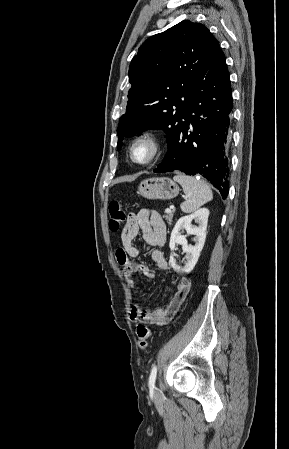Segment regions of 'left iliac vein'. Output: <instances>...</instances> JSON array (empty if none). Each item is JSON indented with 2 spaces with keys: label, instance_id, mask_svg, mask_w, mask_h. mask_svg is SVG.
<instances>
[{
  "label": "left iliac vein",
  "instance_id": "1",
  "mask_svg": "<svg viewBox=\"0 0 289 449\" xmlns=\"http://www.w3.org/2000/svg\"><path fill=\"white\" fill-rule=\"evenodd\" d=\"M159 395V393L157 391H155V396L157 397Z\"/></svg>",
  "mask_w": 289,
  "mask_h": 449
}]
</instances>
